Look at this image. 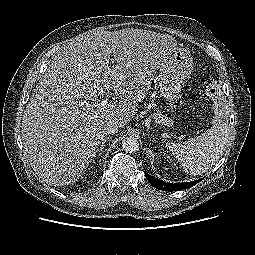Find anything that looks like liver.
Returning a JSON list of instances; mask_svg holds the SVG:
<instances>
[{
	"instance_id": "obj_1",
	"label": "liver",
	"mask_w": 255,
	"mask_h": 255,
	"mask_svg": "<svg viewBox=\"0 0 255 255\" xmlns=\"http://www.w3.org/2000/svg\"><path fill=\"white\" fill-rule=\"evenodd\" d=\"M177 48L169 34L143 29L89 31L61 47L37 83L22 118V140L35 173L65 186L89 166L108 121L127 125L149 93L156 71ZM113 54L115 66H109ZM114 91L105 107L88 110Z\"/></svg>"
}]
</instances>
